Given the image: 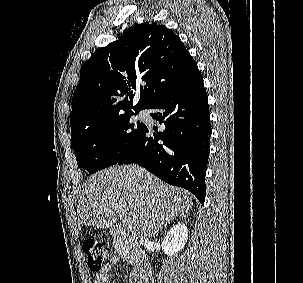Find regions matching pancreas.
<instances>
[{"instance_id": "obj_1", "label": "pancreas", "mask_w": 303, "mask_h": 283, "mask_svg": "<svg viewBox=\"0 0 303 283\" xmlns=\"http://www.w3.org/2000/svg\"><path fill=\"white\" fill-rule=\"evenodd\" d=\"M115 247L124 260L128 261L131 264L134 263L135 252L133 248L135 247V244L128 241H125L124 243L118 242L115 244Z\"/></svg>"}]
</instances>
